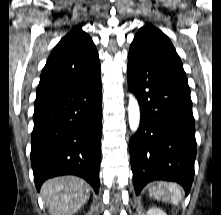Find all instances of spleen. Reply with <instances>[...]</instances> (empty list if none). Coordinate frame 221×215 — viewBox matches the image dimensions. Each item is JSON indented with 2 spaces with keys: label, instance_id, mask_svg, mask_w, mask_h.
Returning a JSON list of instances; mask_svg holds the SVG:
<instances>
[{
  "label": "spleen",
  "instance_id": "spleen-1",
  "mask_svg": "<svg viewBox=\"0 0 221 215\" xmlns=\"http://www.w3.org/2000/svg\"><path fill=\"white\" fill-rule=\"evenodd\" d=\"M151 194H153L155 199L170 201L175 205L178 204L182 196L180 187L174 183H163L160 184L157 188L153 187Z\"/></svg>",
  "mask_w": 221,
  "mask_h": 215
}]
</instances>
